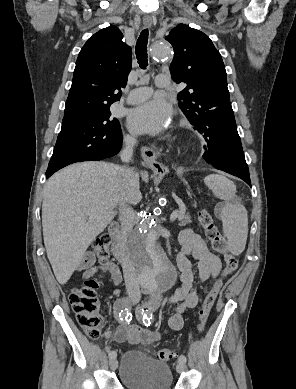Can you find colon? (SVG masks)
Segmentation results:
<instances>
[{"label": "colon", "instance_id": "1", "mask_svg": "<svg viewBox=\"0 0 296 389\" xmlns=\"http://www.w3.org/2000/svg\"><path fill=\"white\" fill-rule=\"evenodd\" d=\"M198 220L200 226L204 229L206 238L211 243L212 249L222 254L225 260L222 277L214 284L199 308L198 331L202 332L216 301L222 279L237 270L238 258L228 251L226 239L220 233L207 209L203 208L199 211ZM111 241V236L104 232L98 235L92 244L93 251L102 266L109 261ZM98 286L99 282L97 280L90 279L81 286L73 288L69 294V302L76 314L78 323L86 331L88 337L93 340L101 337L103 327V316L100 312L96 294ZM156 357L161 361H169L175 357V353L170 349H160L156 352Z\"/></svg>", "mask_w": 296, "mask_h": 389}]
</instances>
